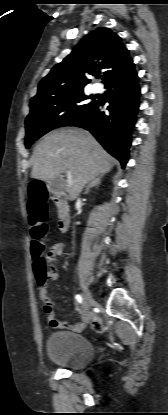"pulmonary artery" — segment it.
Instances as JSON below:
<instances>
[{
    "instance_id": "pulmonary-artery-1",
    "label": "pulmonary artery",
    "mask_w": 168,
    "mask_h": 415,
    "mask_svg": "<svg viewBox=\"0 0 168 415\" xmlns=\"http://www.w3.org/2000/svg\"><path fill=\"white\" fill-rule=\"evenodd\" d=\"M92 91L95 93H99L102 91V86L100 84H94L92 86Z\"/></svg>"
}]
</instances>
